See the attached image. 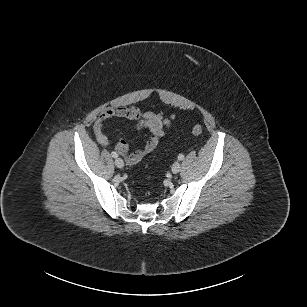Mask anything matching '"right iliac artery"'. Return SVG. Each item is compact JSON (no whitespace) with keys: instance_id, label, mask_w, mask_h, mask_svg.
Wrapping results in <instances>:
<instances>
[{"instance_id":"right-iliac-artery-1","label":"right iliac artery","mask_w":307,"mask_h":307,"mask_svg":"<svg viewBox=\"0 0 307 307\" xmlns=\"http://www.w3.org/2000/svg\"><path fill=\"white\" fill-rule=\"evenodd\" d=\"M111 155H112V157H114V158H117V157H118V154H117L115 151L111 152Z\"/></svg>"}]
</instances>
